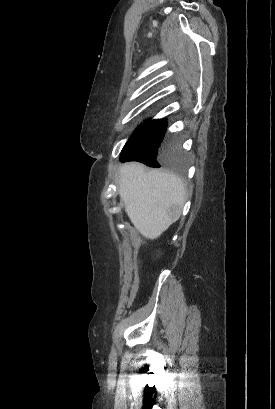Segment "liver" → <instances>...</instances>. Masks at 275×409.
Masks as SVG:
<instances>
[{
  "mask_svg": "<svg viewBox=\"0 0 275 409\" xmlns=\"http://www.w3.org/2000/svg\"><path fill=\"white\" fill-rule=\"evenodd\" d=\"M118 188L131 223L151 241L175 223L168 211L170 207H183L186 194L178 174L159 168L144 172L140 162L122 164Z\"/></svg>",
  "mask_w": 275,
  "mask_h": 409,
  "instance_id": "1",
  "label": "liver"
}]
</instances>
